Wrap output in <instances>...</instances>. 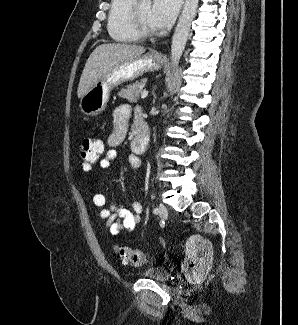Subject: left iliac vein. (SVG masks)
Instances as JSON below:
<instances>
[{
    "label": "left iliac vein",
    "mask_w": 298,
    "mask_h": 325,
    "mask_svg": "<svg viewBox=\"0 0 298 325\" xmlns=\"http://www.w3.org/2000/svg\"><path fill=\"white\" fill-rule=\"evenodd\" d=\"M158 209H159V215H160V217L162 219H167L168 212H167L166 207L163 204H160Z\"/></svg>",
    "instance_id": "left-iliac-vein-1"
}]
</instances>
